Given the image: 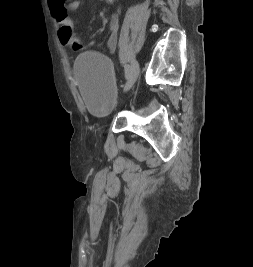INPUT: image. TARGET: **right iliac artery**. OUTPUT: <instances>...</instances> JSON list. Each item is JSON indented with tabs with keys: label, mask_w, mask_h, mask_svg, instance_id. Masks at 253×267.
Returning <instances> with one entry per match:
<instances>
[{
	"label": "right iliac artery",
	"mask_w": 253,
	"mask_h": 267,
	"mask_svg": "<svg viewBox=\"0 0 253 267\" xmlns=\"http://www.w3.org/2000/svg\"><path fill=\"white\" fill-rule=\"evenodd\" d=\"M130 69H131V66H130V65H126V66H125V74H126V78H128V76H129Z\"/></svg>",
	"instance_id": "1"
}]
</instances>
